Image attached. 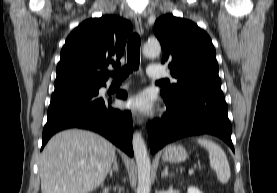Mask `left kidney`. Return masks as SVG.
<instances>
[{
  "label": "left kidney",
  "mask_w": 277,
  "mask_h": 193,
  "mask_svg": "<svg viewBox=\"0 0 277 193\" xmlns=\"http://www.w3.org/2000/svg\"><path fill=\"white\" fill-rule=\"evenodd\" d=\"M187 193H202V192L196 187H189Z\"/></svg>",
  "instance_id": "1"
}]
</instances>
